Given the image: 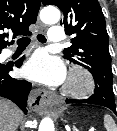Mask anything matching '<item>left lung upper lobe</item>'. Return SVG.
<instances>
[{
    "instance_id": "1",
    "label": "left lung upper lobe",
    "mask_w": 117,
    "mask_h": 131,
    "mask_svg": "<svg viewBox=\"0 0 117 131\" xmlns=\"http://www.w3.org/2000/svg\"><path fill=\"white\" fill-rule=\"evenodd\" d=\"M42 3L62 10L61 25H65L67 35L75 36L71 39L73 45L64 51V57L88 69L96 87L113 92L109 39L98 0H42Z\"/></svg>"
}]
</instances>
